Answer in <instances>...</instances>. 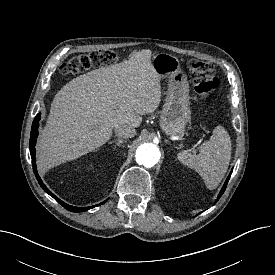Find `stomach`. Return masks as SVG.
Returning <instances> with one entry per match:
<instances>
[{
  "label": "stomach",
  "instance_id": "stomach-1",
  "mask_svg": "<svg viewBox=\"0 0 275 275\" xmlns=\"http://www.w3.org/2000/svg\"><path fill=\"white\" fill-rule=\"evenodd\" d=\"M153 68L160 79L167 80L168 94L163 106L160 127L170 137H180L190 120L189 84L186 74L181 70L179 60L167 53L153 57Z\"/></svg>",
  "mask_w": 275,
  "mask_h": 275
}]
</instances>
